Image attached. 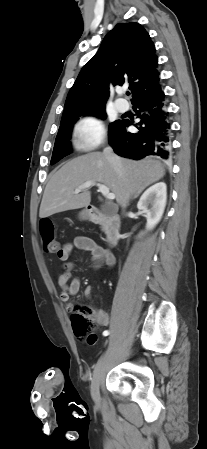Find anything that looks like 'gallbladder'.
Returning <instances> with one entry per match:
<instances>
[{"label": "gallbladder", "instance_id": "1", "mask_svg": "<svg viewBox=\"0 0 207 449\" xmlns=\"http://www.w3.org/2000/svg\"><path fill=\"white\" fill-rule=\"evenodd\" d=\"M102 211L106 214H110V209L109 208H102Z\"/></svg>", "mask_w": 207, "mask_h": 449}]
</instances>
